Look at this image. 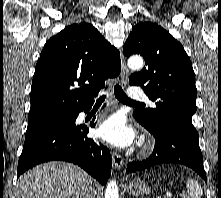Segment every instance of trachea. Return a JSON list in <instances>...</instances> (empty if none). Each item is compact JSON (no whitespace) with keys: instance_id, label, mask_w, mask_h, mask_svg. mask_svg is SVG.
<instances>
[{"instance_id":"obj_1","label":"trachea","mask_w":221,"mask_h":198,"mask_svg":"<svg viewBox=\"0 0 221 198\" xmlns=\"http://www.w3.org/2000/svg\"><path fill=\"white\" fill-rule=\"evenodd\" d=\"M114 94L116 96V98L122 102V103H127V104H141L140 102H136L134 100H131L127 97V95L124 93L123 89L118 85L116 84L114 86ZM106 98V95H102L100 96L97 101H96V104H101Z\"/></svg>"}]
</instances>
